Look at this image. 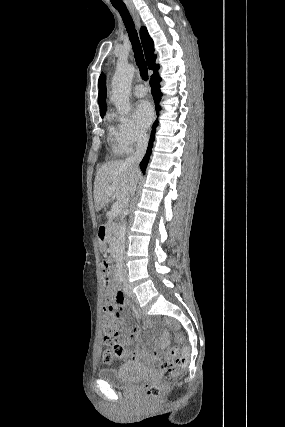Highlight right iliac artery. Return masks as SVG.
Listing matches in <instances>:
<instances>
[{"label": "right iliac artery", "instance_id": "1", "mask_svg": "<svg viewBox=\"0 0 285 427\" xmlns=\"http://www.w3.org/2000/svg\"><path fill=\"white\" fill-rule=\"evenodd\" d=\"M120 279H121V281H123L122 271H120Z\"/></svg>", "mask_w": 285, "mask_h": 427}]
</instances>
